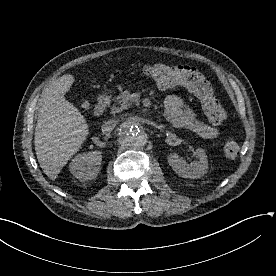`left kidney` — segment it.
<instances>
[{"mask_svg": "<svg viewBox=\"0 0 276 276\" xmlns=\"http://www.w3.org/2000/svg\"><path fill=\"white\" fill-rule=\"evenodd\" d=\"M195 154L199 160L193 161L190 165H186L185 161L180 158L177 153H171L168 156V163L172 169L183 178H200L207 173L208 159L202 148L196 149Z\"/></svg>", "mask_w": 276, "mask_h": 276, "instance_id": "obj_1", "label": "left kidney"}]
</instances>
